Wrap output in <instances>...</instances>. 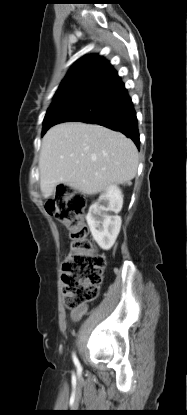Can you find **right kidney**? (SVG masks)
I'll list each match as a JSON object with an SVG mask.
<instances>
[{"label":"right kidney","mask_w":187,"mask_h":415,"mask_svg":"<svg viewBox=\"0 0 187 415\" xmlns=\"http://www.w3.org/2000/svg\"><path fill=\"white\" fill-rule=\"evenodd\" d=\"M99 200L104 205L93 204L86 220L94 240L102 249L109 250L120 232L122 220L118 213L122 209L123 195L119 187L110 185Z\"/></svg>","instance_id":"right-kidney-1"}]
</instances>
